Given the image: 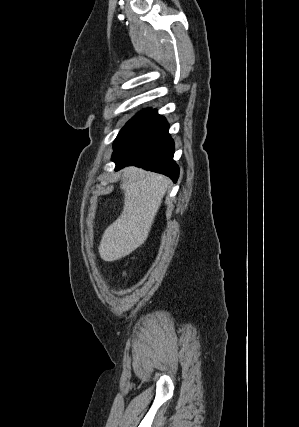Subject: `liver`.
<instances>
[{
    "mask_svg": "<svg viewBox=\"0 0 299 427\" xmlns=\"http://www.w3.org/2000/svg\"><path fill=\"white\" fill-rule=\"evenodd\" d=\"M168 184L163 175L136 167L124 169L120 185L124 192L123 211L104 231L98 248L101 259L119 260L147 240Z\"/></svg>",
    "mask_w": 299,
    "mask_h": 427,
    "instance_id": "obj_1",
    "label": "liver"
}]
</instances>
